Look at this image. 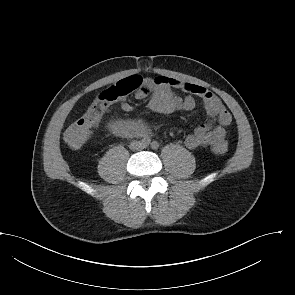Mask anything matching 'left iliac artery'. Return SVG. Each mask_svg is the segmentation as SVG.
Here are the masks:
<instances>
[{
	"instance_id": "left-iliac-artery-1",
	"label": "left iliac artery",
	"mask_w": 295,
	"mask_h": 295,
	"mask_svg": "<svg viewBox=\"0 0 295 295\" xmlns=\"http://www.w3.org/2000/svg\"><path fill=\"white\" fill-rule=\"evenodd\" d=\"M151 148H152L153 150H157V149L159 148V143H158L157 141H153V142L151 143Z\"/></svg>"
}]
</instances>
